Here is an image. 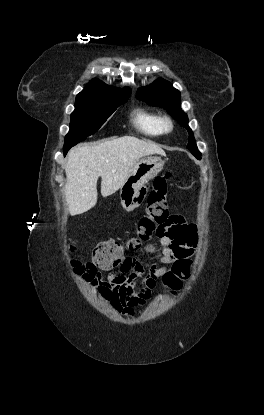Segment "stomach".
<instances>
[{
  "mask_svg": "<svg viewBox=\"0 0 264 415\" xmlns=\"http://www.w3.org/2000/svg\"><path fill=\"white\" fill-rule=\"evenodd\" d=\"M164 166L160 157L148 156L140 159L134 166L126 182L120 188L121 205L126 211L139 207L142 199L140 190L153 179Z\"/></svg>",
  "mask_w": 264,
  "mask_h": 415,
  "instance_id": "0dacf381",
  "label": "stomach"
}]
</instances>
